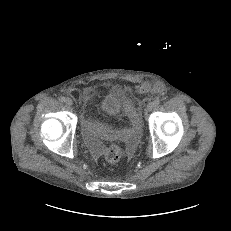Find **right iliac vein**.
Here are the masks:
<instances>
[{"instance_id": "1", "label": "right iliac vein", "mask_w": 231, "mask_h": 231, "mask_svg": "<svg viewBox=\"0 0 231 231\" xmlns=\"http://www.w3.org/2000/svg\"><path fill=\"white\" fill-rule=\"evenodd\" d=\"M66 104L68 105V106H72L73 105V101H72V99L71 98H66Z\"/></svg>"}]
</instances>
